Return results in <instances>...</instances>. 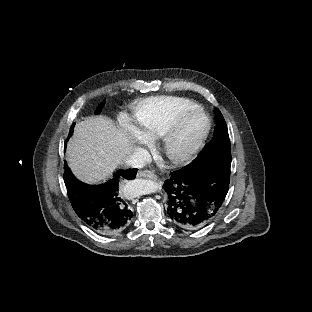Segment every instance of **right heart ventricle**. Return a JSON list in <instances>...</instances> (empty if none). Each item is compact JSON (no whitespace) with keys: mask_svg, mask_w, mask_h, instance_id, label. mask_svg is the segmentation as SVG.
<instances>
[{"mask_svg":"<svg viewBox=\"0 0 312 312\" xmlns=\"http://www.w3.org/2000/svg\"><path fill=\"white\" fill-rule=\"evenodd\" d=\"M198 108L199 103L192 95L172 97L169 94H151L135 104L133 124L140 136L152 141L184 121Z\"/></svg>","mask_w":312,"mask_h":312,"instance_id":"1","label":"right heart ventricle"}]
</instances>
